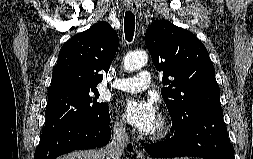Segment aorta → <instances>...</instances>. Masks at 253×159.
<instances>
[{"label":"aorta","instance_id":"1","mask_svg":"<svg viewBox=\"0 0 253 159\" xmlns=\"http://www.w3.org/2000/svg\"><path fill=\"white\" fill-rule=\"evenodd\" d=\"M148 61L145 51L129 52L124 57L123 67L126 71H135L142 68Z\"/></svg>","mask_w":253,"mask_h":159}]
</instances>
